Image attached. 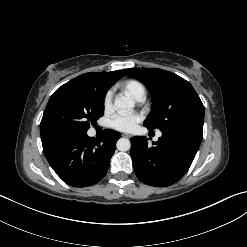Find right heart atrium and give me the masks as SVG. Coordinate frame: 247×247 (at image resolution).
Returning <instances> with one entry per match:
<instances>
[{
    "instance_id": "obj_1",
    "label": "right heart atrium",
    "mask_w": 247,
    "mask_h": 247,
    "mask_svg": "<svg viewBox=\"0 0 247 247\" xmlns=\"http://www.w3.org/2000/svg\"><path fill=\"white\" fill-rule=\"evenodd\" d=\"M111 104H112V94L111 92H108L103 100L104 109L109 110L111 108Z\"/></svg>"
}]
</instances>
